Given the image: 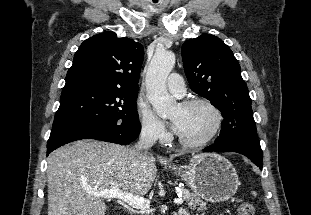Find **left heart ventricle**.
Segmentation results:
<instances>
[{"label": "left heart ventricle", "mask_w": 311, "mask_h": 215, "mask_svg": "<svg viewBox=\"0 0 311 215\" xmlns=\"http://www.w3.org/2000/svg\"><path fill=\"white\" fill-rule=\"evenodd\" d=\"M170 118L179 122L180 130L178 135L184 140L192 142L205 138L215 124L213 112L203 105L186 108L177 105Z\"/></svg>", "instance_id": "left-heart-ventricle-1"}]
</instances>
